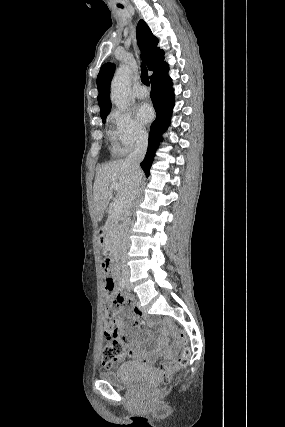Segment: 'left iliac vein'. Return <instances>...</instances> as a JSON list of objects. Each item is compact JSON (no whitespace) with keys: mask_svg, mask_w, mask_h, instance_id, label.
I'll return each mask as SVG.
<instances>
[{"mask_svg":"<svg viewBox=\"0 0 285 427\" xmlns=\"http://www.w3.org/2000/svg\"><path fill=\"white\" fill-rule=\"evenodd\" d=\"M126 290L128 291V292H130V290H131V287H130V284L127 282V285H126Z\"/></svg>","mask_w":285,"mask_h":427,"instance_id":"left-iliac-vein-1","label":"left iliac vein"}]
</instances>
